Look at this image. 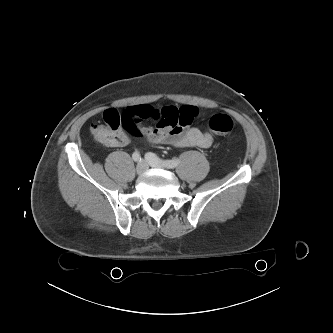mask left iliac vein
Instances as JSON below:
<instances>
[{
  "label": "left iliac vein",
  "instance_id": "obj_1",
  "mask_svg": "<svg viewBox=\"0 0 333 333\" xmlns=\"http://www.w3.org/2000/svg\"><path fill=\"white\" fill-rule=\"evenodd\" d=\"M146 162L154 168H166L167 166L165 165V163L160 160L157 156H155L154 154L149 155L146 158Z\"/></svg>",
  "mask_w": 333,
  "mask_h": 333
}]
</instances>
